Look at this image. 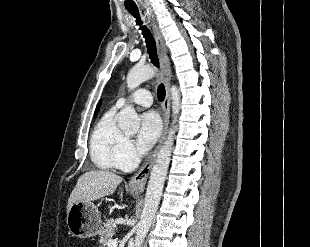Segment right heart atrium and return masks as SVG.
Returning a JSON list of instances; mask_svg holds the SVG:
<instances>
[{
    "instance_id": "right-heart-atrium-1",
    "label": "right heart atrium",
    "mask_w": 310,
    "mask_h": 247,
    "mask_svg": "<svg viewBox=\"0 0 310 247\" xmlns=\"http://www.w3.org/2000/svg\"><path fill=\"white\" fill-rule=\"evenodd\" d=\"M135 158H136V153L134 150L133 143L131 140L126 139L123 145V148H122V152H121L119 168L124 169V168L131 166Z\"/></svg>"
}]
</instances>
